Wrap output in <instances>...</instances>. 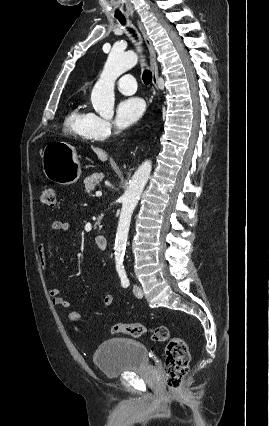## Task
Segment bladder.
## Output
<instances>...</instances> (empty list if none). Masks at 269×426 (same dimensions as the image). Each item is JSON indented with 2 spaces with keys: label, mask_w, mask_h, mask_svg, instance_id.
<instances>
[{
  "label": "bladder",
  "mask_w": 269,
  "mask_h": 426,
  "mask_svg": "<svg viewBox=\"0 0 269 426\" xmlns=\"http://www.w3.org/2000/svg\"><path fill=\"white\" fill-rule=\"evenodd\" d=\"M93 362L107 377L136 371L149 365L146 347L133 339L114 337L98 346Z\"/></svg>",
  "instance_id": "1"
}]
</instances>
